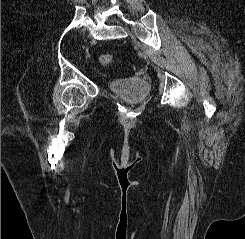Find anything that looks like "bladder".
Segmentation results:
<instances>
[{
    "instance_id": "obj_1",
    "label": "bladder",
    "mask_w": 245,
    "mask_h": 239,
    "mask_svg": "<svg viewBox=\"0 0 245 239\" xmlns=\"http://www.w3.org/2000/svg\"><path fill=\"white\" fill-rule=\"evenodd\" d=\"M109 88L118 96L130 101H143L151 92V86L138 82L135 78L113 80L109 82Z\"/></svg>"
}]
</instances>
